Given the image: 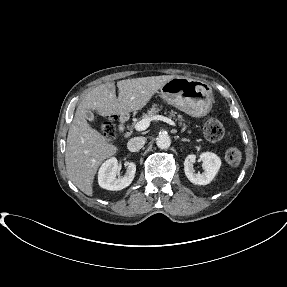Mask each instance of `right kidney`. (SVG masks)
<instances>
[{"mask_svg":"<svg viewBox=\"0 0 287 287\" xmlns=\"http://www.w3.org/2000/svg\"><path fill=\"white\" fill-rule=\"evenodd\" d=\"M118 160L116 158H110L106 160L100 167L98 172V183L100 187L117 191L122 190L129 186L136 172V165L133 162L127 164V171L123 177H116L118 172Z\"/></svg>","mask_w":287,"mask_h":287,"instance_id":"right-kidney-1","label":"right kidney"}]
</instances>
